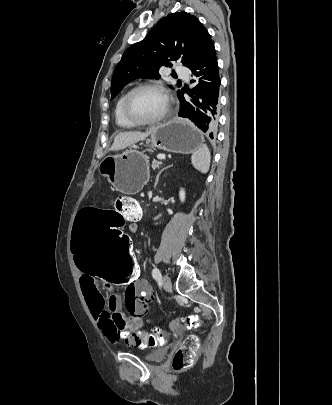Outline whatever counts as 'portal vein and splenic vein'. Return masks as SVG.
Instances as JSON below:
<instances>
[{
	"label": "portal vein and splenic vein",
	"instance_id": "1",
	"mask_svg": "<svg viewBox=\"0 0 332 405\" xmlns=\"http://www.w3.org/2000/svg\"><path fill=\"white\" fill-rule=\"evenodd\" d=\"M158 159L164 160V159H165V156H164V155H159V156H158Z\"/></svg>",
	"mask_w": 332,
	"mask_h": 405
}]
</instances>
